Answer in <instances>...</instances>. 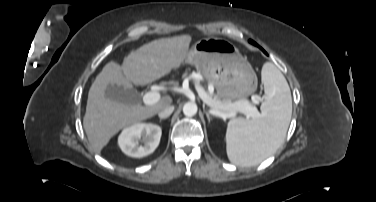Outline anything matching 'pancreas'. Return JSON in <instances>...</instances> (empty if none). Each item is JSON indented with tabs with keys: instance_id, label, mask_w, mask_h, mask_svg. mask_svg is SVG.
<instances>
[{
	"instance_id": "pancreas-1",
	"label": "pancreas",
	"mask_w": 376,
	"mask_h": 202,
	"mask_svg": "<svg viewBox=\"0 0 376 202\" xmlns=\"http://www.w3.org/2000/svg\"><path fill=\"white\" fill-rule=\"evenodd\" d=\"M212 100H214V101H216V102H222V103H225V102H231V100L230 99H221L218 95H216V96H214V97H212L210 94H207ZM202 98V100L206 103V98L205 97H201ZM239 101H241V102H244V101H246L245 99H240ZM210 107H212V108H217V107H215V106H210ZM239 112H241V113H244V114H247L246 113V111H245V108L244 107H241V108H239V110H238Z\"/></svg>"
}]
</instances>
